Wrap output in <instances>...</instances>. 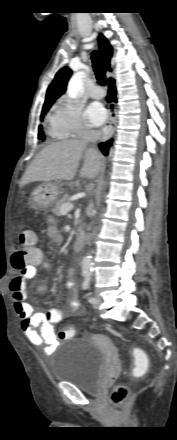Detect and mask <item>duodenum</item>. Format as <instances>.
I'll list each match as a JSON object with an SVG mask.
<instances>
[{"instance_id":"duodenum-1","label":"duodenum","mask_w":177,"mask_h":440,"mask_svg":"<svg viewBox=\"0 0 177 440\" xmlns=\"http://www.w3.org/2000/svg\"><path fill=\"white\" fill-rule=\"evenodd\" d=\"M84 245V233L79 230L75 236L73 248L76 252H80Z\"/></svg>"}]
</instances>
